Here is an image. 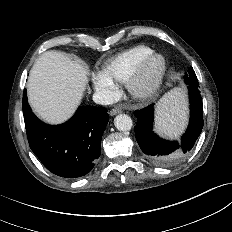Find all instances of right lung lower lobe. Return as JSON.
<instances>
[{"label": "right lung lower lobe", "instance_id": "1", "mask_svg": "<svg viewBox=\"0 0 232 232\" xmlns=\"http://www.w3.org/2000/svg\"><path fill=\"white\" fill-rule=\"evenodd\" d=\"M30 148L52 173L78 178L89 173L101 154V138L109 120L104 107H79L64 124L52 126L39 120L28 105L26 90L22 101Z\"/></svg>", "mask_w": 232, "mask_h": 232}]
</instances>
